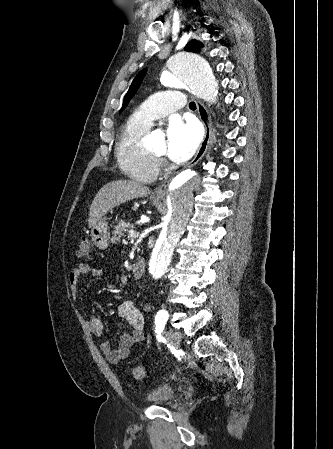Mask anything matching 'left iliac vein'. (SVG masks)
Listing matches in <instances>:
<instances>
[{"mask_svg":"<svg viewBox=\"0 0 333 449\" xmlns=\"http://www.w3.org/2000/svg\"><path fill=\"white\" fill-rule=\"evenodd\" d=\"M166 338L174 349H178L180 347L181 335L178 332L167 331Z\"/></svg>","mask_w":333,"mask_h":449,"instance_id":"1","label":"left iliac vein"}]
</instances>
